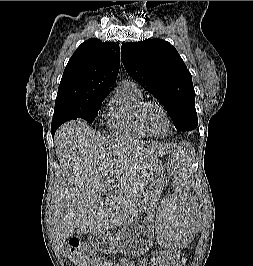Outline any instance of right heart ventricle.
I'll return each mask as SVG.
<instances>
[{"instance_id":"e07e8e85","label":"right heart ventricle","mask_w":253,"mask_h":266,"mask_svg":"<svg viewBox=\"0 0 253 266\" xmlns=\"http://www.w3.org/2000/svg\"><path fill=\"white\" fill-rule=\"evenodd\" d=\"M143 101V92L137 84L128 80L121 82L107 109V124L110 130L124 138H147L148 135L137 121V110Z\"/></svg>"}]
</instances>
